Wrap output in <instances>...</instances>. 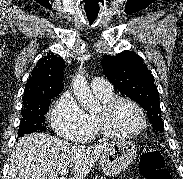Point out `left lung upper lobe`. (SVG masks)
Wrapping results in <instances>:
<instances>
[{"label":"left lung upper lobe","instance_id":"5c2ea615","mask_svg":"<svg viewBox=\"0 0 183 179\" xmlns=\"http://www.w3.org/2000/svg\"><path fill=\"white\" fill-rule=\"evenodd\" d=\"M105 76L122 93L136 101L146 114L156 132L164 133L155 80L142 58L131 51L102 59Z\"/></svg>","mask_w":183,"mask_h":179}]
</instances>
